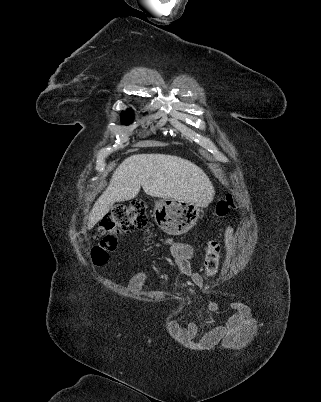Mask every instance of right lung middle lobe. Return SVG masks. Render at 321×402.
Wrapping results in <instances>:
<instances>
[{
  "label": "right lung middle lobe",
  "mask_w": 321,
  "mask_h": 402,
  "mask_svg": "<svg viewBox=\"0 0 321 402\" xmlns=\"http://www.w3.org/2000/svg\"><path fill=\"white\" fill-rule=\"evenodd\" d=\"M121 119H122V122H123L124 124H129V123H131L132 120H133L132 110H128V111L122 112Z\"/></svg>",
  "instance_id": "dd1d6c3e"
}]
</instances>
